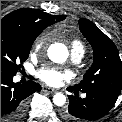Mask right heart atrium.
Listing matches in <instances>:
<instances>
[{"mask_svg": "<svg viewBox=\"0 0 122 122\" xmlns=\"http://www.w3.org/2000/svg\"><path fill=\"white\" fill-rule=\"evenodd\" d=\"M47 40L48 38L46 36L39 37L35 42V49L41 50L42 48H44L47 43Z\"/></svg>", "mask_w": 122, "mask_h": 122, "instance_id": "1", "label": "right heart atrium"}]
</instances>
